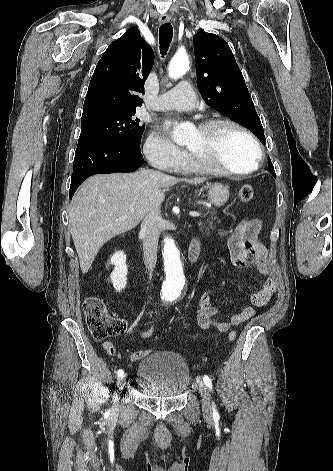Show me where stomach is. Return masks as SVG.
<instances>
[{
	"instance_id": "stomach-1",
	"label": "stomach",
	"mask_w": 333,
	"mask_h": 471,
	"mask_svg": "<svg viewBox=\"0 0 333 471\" xmlns=\"http://www.w3.org/2000/svg\"><path fill=\"white\" fill-rule=\"evenodd\" d=\"M208 199L216 207L223 206L229 199V189L221 183L208 186Z\"/></svg>"
}]
</instances>
